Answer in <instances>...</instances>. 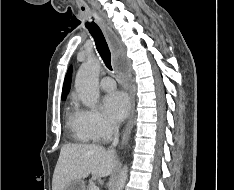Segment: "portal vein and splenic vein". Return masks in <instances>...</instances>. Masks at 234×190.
<instances>
[{
	"instance_id": "18ae733b",
	"label": "portal vein and splenic vein",
	"mask_w": 234,
	"mask_h": 190,
	"mask_svg": "<svg viewBox=\"0 0 234 190\" xmlns=\"http://www.w3.org/2000/svg\"><path fill=\"white\" fill-rule=\"evenodd\" d=\"M92 190H100V189H99V187H97V186H93V187H92Z\"/></svg>"
}]
</instances>
